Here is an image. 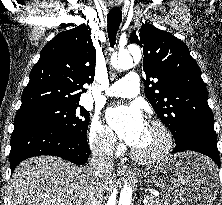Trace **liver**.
<instances>
[{
    "mask_svg": "<svg viewBox=\"0 0 222 205\" xmlns=\"http://www.w3.org/2000/svg\"><path fill=\"white\" fill-rule=\"evenodd\" d=\"M111 173L95 179L88 169L55 156H38L19 164L11 177V205H101L112 186Z\"/></svg>",
    "mask_w": 222,
    "mask_h": 205,
    "instance_id": "obj_1",
    "label": "liver"
}]
</instances>
